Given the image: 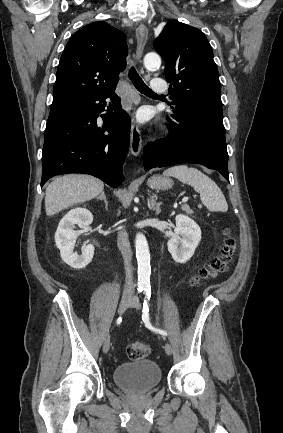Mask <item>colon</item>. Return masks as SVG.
<instances>
[{
	"label": "colon",
	"instance_id": "colon-1",
	"mask_svg": "<svg viewBox=\"0 0 283 433\" xmlns=\"http://www.w3.org/2000/svg\"><path fill=\"white\" fill-rule=\"evenodd\" d=\"M237 252V243L226 230L220 252L192 277L191 285L196 286L202 281L210 280L227 271ZM150 345L145 341H132L126 346V354L130 359L139 360L150 354Z\"/></svg>",
	"mask_w": 283,
	"mask_h": 433
}]
</instances>
